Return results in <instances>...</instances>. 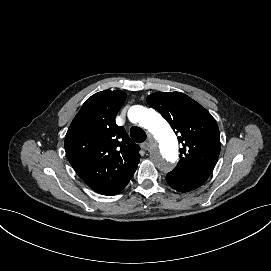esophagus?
Listing matches in <instances>:
<instances>
[{
    "instance_id": "obj_1",
    "label": "esophagus",
    "mask_w": 271,
    "mask_h": 271,
    "mask_svg": "<svg viewBox=\"0 0 271 271\" xmlns=\"http://www.w3.org/2000/svg\"><path fill=\"white\" fill-rule=\"evenodd\" d=\"M148 137H149V139H150V142H145V143H142V144H141V147H142L144 150H151V149L154 147V145H155V143L153 142L152 136L149 134Z\"/></svg>"
}]
</instances>
